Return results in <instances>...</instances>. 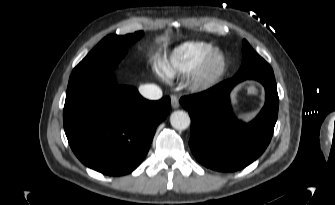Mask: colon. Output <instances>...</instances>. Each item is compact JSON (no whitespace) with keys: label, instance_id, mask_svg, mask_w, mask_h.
Returning a JSON list of instances; mask_svg holds the SVG:
<instances>
[{"label":"colon","instance_id":"obj_1","mask_svg":"<svg viewBox=\"0 0 335 205\" xmlns=\"http://www.w3.org/2000/svg\"><path fill=\"white\" fill-rule=\"evenodd\" d=\"M248 92L250 94H255L256 93V89L253 86H250V87H248Z\"/></svg>","mask_w":335,"mask_h":205}]
</instances>
